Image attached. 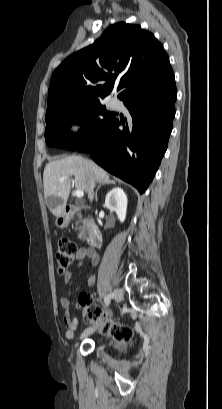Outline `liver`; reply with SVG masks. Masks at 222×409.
Wrapping results in <instances>:
<instances>
[{"label":"liver","mask_w":222,"mask_h":409,"mask_svg":"<svg viewBox=\"0 0 222 409\" xmlns=\"http://www.w3.org/2000/svg\"><path fill=\"white\" fill-rule=\"evenodd\" d=\"M85 161L88 162V166ZM89 171L95 176L96 182H102L108 177L106 171L94 162L76 155L51 161L45 166L43 173L44 196L46 201L52 197V204L49 206L47 202V205L53 215L57 216L62 212L71 190L70 181L60 182V179L74 176L75 188L89 194Z\"/></svg>","instance_id":"liver-1"}]
</instances>
